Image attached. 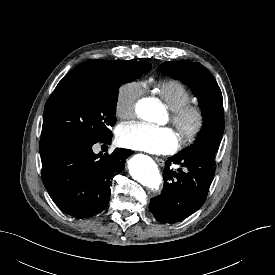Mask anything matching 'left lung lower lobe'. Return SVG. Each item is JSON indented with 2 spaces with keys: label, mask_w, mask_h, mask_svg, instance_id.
Wrapping results in <instances>:
<instances>
[{
  "label": "left lung lower lobe",
  "mask_w": 275,
  "mask_h": 275,
  "mask_svg": "<svg viewBox=\"0 0 275 275\" xmlns=\"http://www.w3.org/2000/svg\"><path fill=\"white\" fill-rule=\"evenodd\" d=\"M171 164L185 168L174 171ZM215 155L208 152L177 154L165 163L164 188L152 198L149 210L162 223L179 222L205 202L215 173Z\"/></svg>",
  "instance_id": "1"
}]
</instances>
